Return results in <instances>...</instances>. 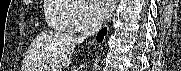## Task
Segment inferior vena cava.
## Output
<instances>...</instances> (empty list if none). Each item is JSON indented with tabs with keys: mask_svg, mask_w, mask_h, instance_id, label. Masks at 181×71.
Returning a JSON list of instances; mask_svg holds the SVG:
<instances>
[{
	"mask_svg": "<svg viewBox=\"0 0 181 71\" xmlns=\"http://www.w3.org/2000/svg\"><path fill=\"white\" fill-rule=\"evenodd\" d=\"M101 27V22L95 20L94 18H88L82 27V34L78 38V41L82 42L84 39L95 35Z\"/></svg>",
	"mask_w": 181,
	"mask_h": 71,
	"instance_id": "1",
	"label": "inferior vena cava"
}]
</instances>
